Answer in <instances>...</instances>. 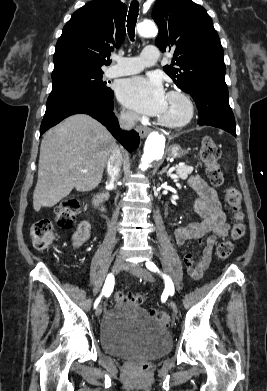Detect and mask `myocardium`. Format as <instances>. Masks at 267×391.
<instances>
[{
  "label": "myocardium",
  "instance_id": "myocardium-1",
  "mask_svg": "<svg viewBox=\"0 0 267 391\" xmlns=\"http://www.w3.org/2000/svg\"><path fill=\"white\" fill-rule=\"evenodd\" d=\"M167 96L175 97L180 99L185 106V115L180 120H168L162 117H158V122L168 128H182L187 126L193 119L195 114V108L192 99L188 94L181 90H171L168 92Z\"/></svg>",
  "mask_w": 267,
  "mask_h": 391
}]
</instances>
